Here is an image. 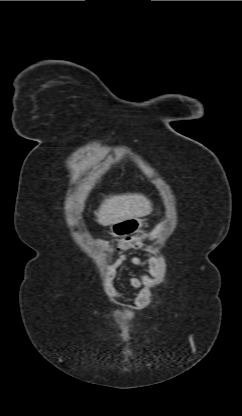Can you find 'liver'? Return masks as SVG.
Segmentation results:
<instances>
[{"label":"liver","mask_w":242,"mask_h":416,"mask_svg":"<svg viewBox=\"0 0 242 416\" xmlns=\"http://www.w3.org/2000/svg\"><path fill=\"white\" fill-rule=\"evenodd\" d=\"M151 212L152 204L147 197L138 193H127L106 197L95 214L100 225L108 226L127 219L143 217Z\"/></svg>","instance_id":"6515ba94"}]
</instances>
